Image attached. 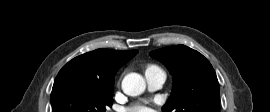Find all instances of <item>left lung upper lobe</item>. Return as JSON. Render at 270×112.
<instances>
[{
  "mask_svg": "<svg viewBox=\"0 0 270 112\" xmlns=\"http://www.w3.org/2000/svg\"><path fill=\"white\" fill-rule=\"evenodd\" d=\"M173 76V90L163 112H219L220 93L216 73L198 51L185 45L150 52Z\"/></svg>",
  "mask_w": 270,
  "mask_h": 112,
  "instance_id": "1",
  "label": "left lung upper lobe"
}]
</instances>
